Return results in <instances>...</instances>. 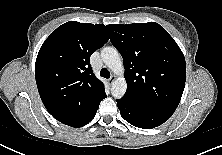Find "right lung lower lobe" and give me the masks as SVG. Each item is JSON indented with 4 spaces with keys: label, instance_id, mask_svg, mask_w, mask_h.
<instances>
[{
    "label": "right lung lower lobe",
    "instance_id": "right-lung-lower-lobe-1",
    "mask_svg": "<svg viewBox=\"0 0 222 155\" xmlns=\"http://www.w3.org/2000/svg\"><path fill=\"white\" fill-rule=\"evenodd\" d=\"M105 97H103L101 99V101ZM100 102L97 105H95L93 108L88 110L86 113H84L83 115H80L79 117H76V118H73V119H64L62 123L66 124V125H69L71 127H76V128L86 125L87 123H89L94 118V116H95V114H96V112L99 108Z\"/></svg>",
    "mask_w": 222,
    "mask_h": 155
}]
</instances>
